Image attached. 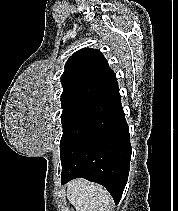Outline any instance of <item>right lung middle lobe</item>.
Wrapping results in <instances>:
<instances>
[{"label":"right lung middle lobe","mask_w":178,"mask_h":211,"mask_svg":"<svg viewBox=\"0 0 178 211\" xmlns=\"http://www.w3.org/2000/svg\"><path fill=\"white\" fill-rule=\"evenodd\" d=\"M94 105L95 103L92 102H81L63 107V112L61 114L63 135L60 145L67 139V137L72 133L75 127L88 114Z\"/></svg>","instance_id":"1"}]
</instances>
